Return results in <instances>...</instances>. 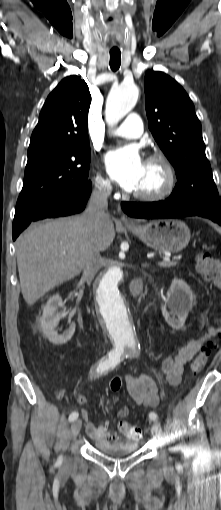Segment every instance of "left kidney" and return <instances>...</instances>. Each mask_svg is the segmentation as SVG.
Returning <instances> with one entry per match:
<instances>
[{
    "label": "left kidney",
    "instance_id": "5707ae66",
    "mask_svg": "<svg viewBox=\"0 0 221 510\" xmlns=\"http://www.w3.org/2000/svg\"><path fill=\"white\" fill-rule=\"evenodd\" d=\"M194 302L195 295L187 283L178 278L173 279L165 304L162 305V314L168 325L174 330H180L184 326ZM166 307L170 312L166 310ZM170 314L173 317H170Z\"/></svg>",
    "mask_w": 221,
    "mask_h": 510
}]
</instances>
